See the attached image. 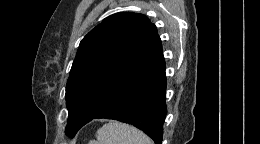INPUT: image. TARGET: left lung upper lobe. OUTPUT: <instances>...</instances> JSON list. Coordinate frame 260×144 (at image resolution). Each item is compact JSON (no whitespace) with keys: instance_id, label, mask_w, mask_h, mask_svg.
I'll return each mask as SVG.
<instances>
[{"instance_id":"left-lung-upper-lobe-1","label":"left lung upper lobe","mask_w":260,"mask_h":144,"mask_svg":"<svg viewBox=\"0 0 260 144\" xmlns=\"http://www.w3.org/2000/svg\"><path fill=\"white\" fill-rule=\"evenodd\" d=\"M160 37L143 14L120 12L105 18L80 42L66 85L68 123L74 137L93 120L113 93L136 69L158 58L165 74Z\"/></svg>"}]
</instances>
